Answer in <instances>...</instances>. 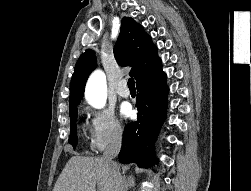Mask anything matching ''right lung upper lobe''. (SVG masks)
<instances>
[{
	"instance_id": "cb5924a9",
	"label": "right lung upper lobe",
	"mask_w": 251,
	"mask_h": 191,
	"mask_svg": "<svg viewBox=\"0 0 251 191\" xmlns=\"http://www.w3.org/2000/svg\"><path fill=\"white\" fill-rule=\"evenodd\" d=\"M114 55L120 65L132 67L130 75L135 77L137 86L163 74L156 46L141 25L130 17H124L121 21V31L114 47ZM95 68L94 52L86 50L79 57L72 75L69 107L79 105L87 78Z\"/></svg>"
}]
</instances>
